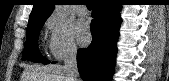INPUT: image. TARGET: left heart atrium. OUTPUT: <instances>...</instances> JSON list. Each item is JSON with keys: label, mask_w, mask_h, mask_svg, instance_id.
Here are the masks:
<instances>
[{"label": "left heart atrium", "mask_w": 169, "mask_h": 81, "mask_svg": "<svg viewBox=\"0 0 169 81\" xmlns=\"http://www.w3.org/2000/svg\"><path fill=\"white\" fill-rule=\"evenodd\" d=\"M75 35L79 43L85 44L90 40V30L88 22L79 20L75 25Z\"/></svg>", "instance_id": "obj_1"}]
</instances>
